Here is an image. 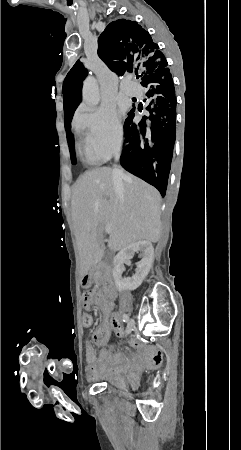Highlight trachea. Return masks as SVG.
<instances>
[{
    "mask_svg": "<svg viewBox=\"0 0 241 450\" xmlns=\"http://www.w3.org/2000/svg\"><path fill=\"white\" fill-rule=\"evenodd\" d=\"M136 78H139V75H136Z\"/></svg>",
    "mask_w": 241,
    "mask_h": 450,
    "instance_id": "1",
    "label": "trachea"
}]
</instances>
